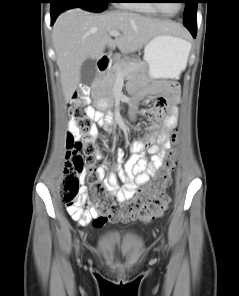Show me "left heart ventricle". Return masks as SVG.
Segmentation results:
<instances>
[{
	"mask_svg": "<svg viewBox=\"0 0 239 296\" xmlns=\"http://www.w3.org/2000/svg\"><path fill=\"white\" fill-rule=\"evenodd\" d=\"M160 6L167 13H173L178 9V3H174L167 0L160 1Z\"/></svg>",
	"mask_w": 239,
	"mask_h": 296,
	"instance_id": "obj_1",
	"label": "left heart ventricle"
}]
</instances>
